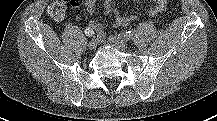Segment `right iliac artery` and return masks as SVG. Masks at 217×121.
I'll return each mask as SVG.
<instances>
[{
  "mask_svg": "<svg viewBox=\"0 0 217 121\" xmlns=\"http://www.w3.org/2000/svg\"><path fill=\"white\" fill-rule=\"evenodd\" d=\"M94 39H95V38H94ZM96 40H97V41H100V40H101V36H100L99 34H97Z\"/></svg>",
  "mask_w": 217,
  "mask_h": 121,
  "instance_id": "right-iliac-artery-1",
  "label": "right iliac artery"
}]
</instances>
